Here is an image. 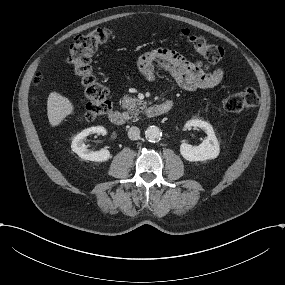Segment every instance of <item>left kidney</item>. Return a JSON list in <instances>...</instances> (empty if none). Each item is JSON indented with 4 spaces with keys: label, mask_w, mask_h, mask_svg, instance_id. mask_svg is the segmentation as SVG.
Instances as JSON below:
<instances>
[{
    "label": "left kidney",
    "mask_w": 285,
    "mask_h": 285,
    "mask_svg": "<svg viewBox=\"0 0 285 285\" xmlns=\"http://www.w3.org/2000/svg\"><path fill=\"white\" fill-rule=\"evenodd\" d=\"M193 124L207 134V139L195 147L186 143L182 144L180 146L181 156L188 162L215 160L219 156L220 151L212 126L204 121H194Z\"/></svg>",
    "instance_id": "left-kidney-1"
}]
</instances>
